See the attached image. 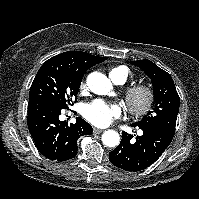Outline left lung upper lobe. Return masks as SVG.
<instances>
[{
    "label": "left lung upper lobe",
    "mask_w": 199,
    "mask_h": 199,
    "mask_svg": "<svg viewBox=\"0 0 199 199\" xmlns=\"http://www.w3.org/2000/svg\"><path fill=\"white\" fill-rule=\"evenodd\" d=\"M149 76L154 89V108L141 121L133 124L138 127H159L175 133L180 98L169 73L159 68L150 60L131 61Z\"/></svg>",
    "instance_id": "1"
}]
</instances>
